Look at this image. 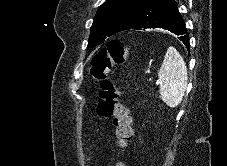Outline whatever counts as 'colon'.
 Wrapping results in <instances>:
<instances>
[{
	"label": "colon",
	"mask_w": 227,
	"mask_h": 166,
	"mask_svg": "<svg viewBox=\"0 0 227 166\" xmlns=\"http://www.w3.org/2000/svg\"><path fill=\"white\" fill-rule=\"evenodd\" d=\"M133 62L127 47L120 40H111L106 48L100 49L92 58L90 74L101 84L97 113L111 118L115 128L114 140L118 148H125L132 137V117L128 108L120 101L121 88L111 79L108 73L114 65ZM111 166H124L121 160Z\"/></svg>",
	"instance_id": "1"
}]
</instances>
